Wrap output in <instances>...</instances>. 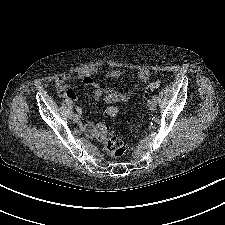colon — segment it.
<instances>
[{
    "label": "colon",
    "instance_id": "colon-1",
    "mask_svg": "<svg viewBox=\"0 0 225 225\" xmlns=\"http://www.w3.org/2000/svg\"><path fill=\"white\" fill-rule=\"evenodd\" d=\"M161 85L157 82L151 83L146 89L148 93L158 92ZM118 109L114 106H109L106 109V115L114 117L118 114ZM93 137L98 140L104 147L105 152L111 158H121L127 151V146L124 141L113 134L110 127L105 122L98 123L92 131Z\"/></svg>",
    "mask_w": 225,
    "mask_h": 225
}]
</instances>
